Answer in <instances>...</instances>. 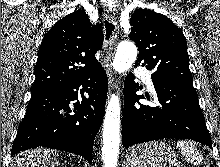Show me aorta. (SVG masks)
<instances>
[{"mask_svg": "<svg viewBox=\"0 0 220 167\" xmlns=\"http://www.w3.org/2000/svg\"><path fill=\"white\" fill-rule=\"evenodd\" d=\"M137 57V48L131 41H122L112 63L115 71L126 72ZM120 146V103L115 94L108 103L103 124V167H117Z\"/></svg>", "mask_w": 220, "mask_h": 167, "instance_id": "aorta-1", "label": "aorta"}]
</instances>
